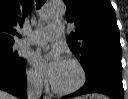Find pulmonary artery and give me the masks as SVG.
Masks as SVG:
<instances>
[{
	"instance_id": "e3ab8cb5",
	"label": "pulmonary artery",
	"mask_w": 128,
	"mask_h": 99,
	"mask_svg": "<svg viewBox=\"0 0 128 99\" xmlns=\"http://www.w3.org/2000/svg\"><path fill=\"white\" fill-rule=\"evenodd\" d=\"M64 32V26L61 23H53L45 28L37 30L27 38L28 44H44L58 40Z\"/></svg>"
}]
</instances>
